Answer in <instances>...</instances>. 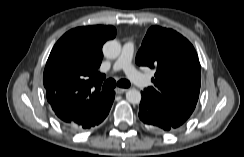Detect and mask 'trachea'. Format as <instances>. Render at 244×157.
Masks as SVG:
<instances>
[{
  "label": "trachea",
  "mask_w": 244,
  "mask_h": 157,
  "mask_svg": "<svg viewBox=\"0 0 244 157\" xmlns=\"http://www.w3.org/2000/svg\"><path fill=\"white\" fill-rule=\"evenodd\" d=\"M117 85L122 88H128L130 86V82L126 79H121L117 82ZM116 87V81L114 79H108L104 82L102 90L107 91Z\"/></svg>",
  "instance_id": "obj_1"
}]
</instances>
